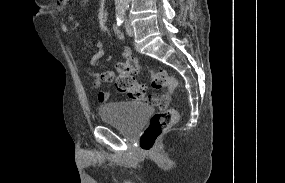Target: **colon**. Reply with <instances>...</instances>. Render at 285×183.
Listing matches in <instances>:
<instances>
[{
  "label": "colon",
  "instance_id": "obj_1",
  "mask_svg": "<svg viewBox=\"0 0 285 183\" xmlns=\"http://www.w3.org/2000/svg\"><path fill=\"white\" fill-rule=\"evenodd\" d=\"M65 2L66 0H59ZM118 73L115 79L116 89L130 99H143L146 96V88L135 80V75L146 71L151 79L152 87L160 89L167 87L172 93L176 88V80L168 75L165 70L154 69L141 64L136 58L130 57L116 65ZM147 102L157 104L165 108L168 103V95H152L146 98ZM179 113L174 109H164L154 114L140 138V147L146 153H152L159 137L178 123Z\"/></svg>",
  "mask_w": 285,
  "mask_h": 183
}]
</instances>
